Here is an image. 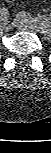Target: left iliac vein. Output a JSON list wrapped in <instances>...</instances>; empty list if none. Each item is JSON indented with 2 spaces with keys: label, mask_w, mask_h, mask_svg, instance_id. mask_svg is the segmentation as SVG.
I'll list each match as a JSON object with an SVG mask.
<instances>
[{
  "label": "left iliac vein",
  "mask_w": 51,
  "mask_h": 153,
  "mask_svg": "<svg viewBox=\"0 0 51 153\" xmlns=\"http://www.w3.org/2000/svg\"><path fill=\"white\" fill-rule=\"evenodd\" d=\"M14 26L19 29H30L36 32H46L48 30L47 27L43 26L40 23H33L30 21H26L25 18L19 13L15 20H14Z\"/></svg>",
  "instance_id": "4c4485c4"
}]
</instances>
